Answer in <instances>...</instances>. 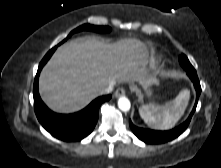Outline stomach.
Wrapping results in <instances>:
<instances>
[{"label":"stomach","instance_id":"obj_1","mask_svg":"<svg viewBox=\"0 0 221 168\" xmlns=\"http://www.w3.org/2000/svg\"><path fill=\"white\" fill-rule=\"evenodd\" d=\"M142 88H143V91H144L147 95H151L152 90H151V83H150V82L142 84Z\"/></svg>","mask_w":221,"mask_h":168}]
</instances>
